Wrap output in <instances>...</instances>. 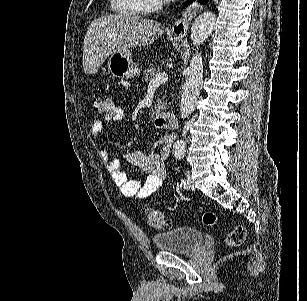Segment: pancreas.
Wrapping results in <instances>:
<instances>
[{
  "instance_id": "obj_1",
  "label": "pancreas",
  "mask_w": 307,
  "mask_h": 301,
  "mask_svg": "<svg viewBox=\"0 0 307 301\" xmlns=\"http://www.w3.org/2000/svg\"><path fill=\"white\" fill-rule=\"evenodd\" d=\"M157 72H162V68H160V66H154V64H151L150 68H147V70H143V82H149V80H152V78L156 76ZM165 98L166 94H164L162 100H157L154 112H159V110H166L170 102H167Z\"/></svg>"
}]
</instances>
